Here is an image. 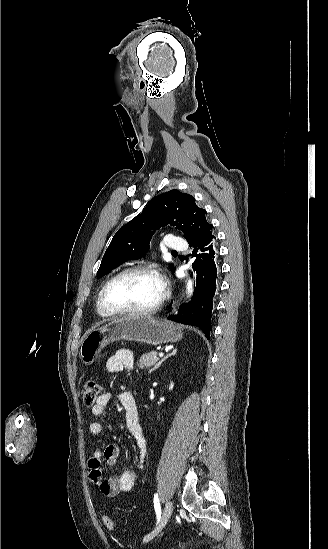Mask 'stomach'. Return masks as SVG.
Instances as JSON below:
<instances>
[{"label":"stomach","instance_id":"obj_1","mask_svg":"<svg viewBox=\"0 0 328 549\" xmlns=\"http://www.w3.org/2000/svg\"><path fill=\"white\" fill-rule=\"evenodd\" d=\"M183 339L181 325L162 321L150 315H128L122 319H111L110 323L90 329L83 337L79 359L83 365H92L102 349L114 341H138L147 345L177 343Z\"/></svg>","mask_w":328,"mask_h":549}]
</instances>
